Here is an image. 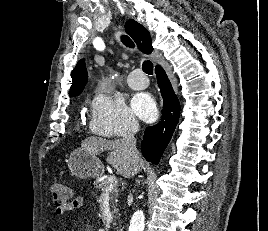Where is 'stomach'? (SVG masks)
Segmentation results:
<instances>
[{
    "instance_id": "1",
    "label": "stomach",
    "mask_w": 268,
    "mask_h": 231,
    "mask_svg": "<svg viewBox=\"0 0 268 231\" xmlns=\"http://www.w3.org/2000/svg\"><path fill=\"white\" fill-rule=\"evenodd\" d=\"M71 173L79 179L98 178L103 173L99 158L89 150L79 147L74 149L68 158Z\"/></svg>"
}]
</instances>
